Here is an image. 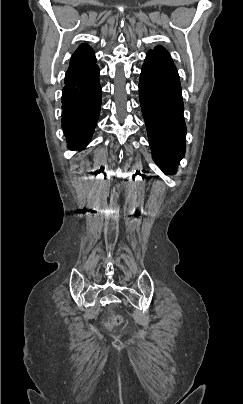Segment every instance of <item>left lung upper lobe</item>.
<instances>
[{"label": "left lung upper lobe", "instance_id": "5c2ea615", "mask_svg": "<svg viewBox=\"0 0 243 404\" xmlns=\"http://www.w3.org/2000/svg\"><path fill=\"white\" fill-rule=\"evenodd\" d=\"M150 51L154 52L156 54L162 55V56L170 57L168 51H166L165 48H163L161 46H157V47H155L154 50H150Z\"/></svg>", "mask_w": 243, "mask_h": 404}]
</instances>
